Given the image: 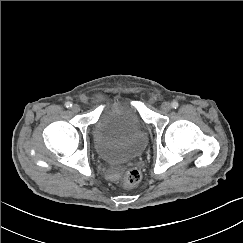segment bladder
<instances>
[{
    "label": "bladder",
    "instance_id": "31cf9c89",
    "mask_svg": "<svg viewBox=\"0 0 243 243\" xmlns=\"http://www.w3.org/2000/svg\"><path fill=\"white\" fill-rule=\"evenodd\" d=\"M93 141L97 154L109 163L137 157L146 148L147 131L134 104L121 98L106 101L93 126Z\"/></svg>",
    "mask_w": 243,
    "mask_h": 243
}]
</instances>
